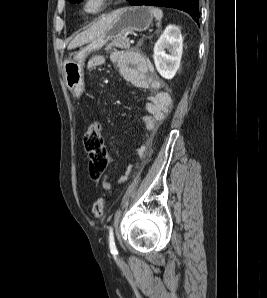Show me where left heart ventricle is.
<instances>
[{
	"label": "left heart ventricle",
	"mask_w": 267,
	"mask_h": 298,
	"mask_svg": "<svg viewBox=\"0 0 267 298\" xmlns=\"http://www.w3.org/2000/svg\"><path fill=\"white\" fill-rule=\"evenodd\" d=\"M98 5V0H93V2H91V4H90V8H94V7H96Z\"/></svg>",
	"instance_id": "1"
}]
</instances>
